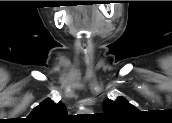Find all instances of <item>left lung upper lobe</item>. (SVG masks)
<instances>
[{
  "label": "left lung upper lobe",
  "mask_w": 172,
  "mask_h": 123,
  "mask_svg": "<svg viewBox=\"0 0 172 123\" xmlns=\"http://www.w3.org/2000/svg\"><path fill=\"white\" fill-rule=\"evenodd\" d=\"M102 106L105 115L112 117H126L130 114L136 113L137 110L123 97H118L116 101L106 99Z\"/></svg>",
  "instance_id": "1"
}]
</instances>
